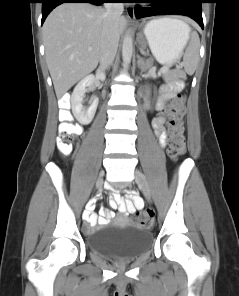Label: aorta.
Segmentation results:
<instances>
[{"instance_id": "762f6f07", "label": "aorta", "mask_w": 239, "mask_h": 296, "mask_svg": "<svg viewBox=\"0 0 239 296\" xmlns=\"http://www.w3.org/2000/svg\"><path fill=\"white\" fill-rule=\"evenodd\" d=\"M133 54V40L129 33H126L122 45V59L126 67L130 65Z\"/></svg>"}]
</instances>
